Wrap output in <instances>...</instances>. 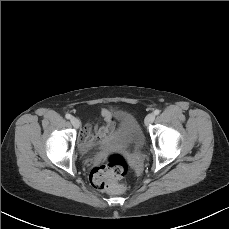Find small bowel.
Segmentation results:
<instances>
[{
	"instance_id": "1",
	"label": "small bowel",
	"mask_w": 229,
	"mask_h": 229,
	"mask_svg": "<svg viewBox=\"0 0 229 229\" xmlns=\"http://www.w3.org/2000/svg\"><path fill=\"white\" fill-rule=\"evenodd\" d=\"M101 117L104 124L93 128L91 125H86L79 144L83 150H87L89 143H108L116 134L115 117L116 113L110 109H102Z\"/></svg>"
}]
</instances>
